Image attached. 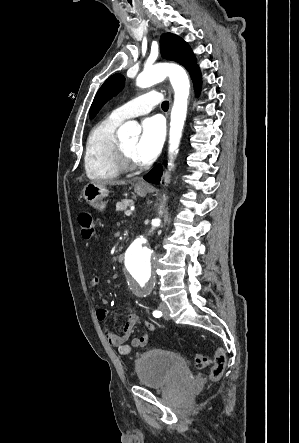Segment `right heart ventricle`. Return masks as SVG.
Returning a JSON list of instances; mask_svg holds the SVG:
<instances>
[{
  "label": "right heart ventricle",
  "mask_w": 299,
  "mask_h": 443,
  "mask_svg": "<svg viewBox=\"0 0 299 443\" xmlns=\"http://www.w3.org/2000/svg\"><path fill=\"white\" fill-rule=\"evenodd\" d=\"M121 122L110 115L90 131L84 156L85 171L90 179L109 180L120 174L115 149L118 143L116 130Z\"/></svg>",
  "instance_id": "obj_1"
}]
</instances>
